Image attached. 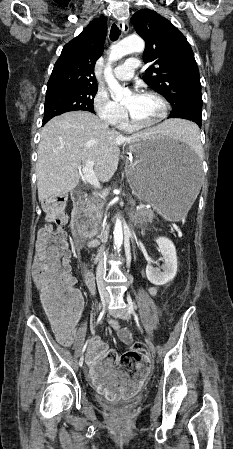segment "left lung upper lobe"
<instances>
[{
    "label": "left lung upper lobe",
    "instance_id": "1",
    "mask_svg": "<svg viewBox=\"0 0 233 449\" xmlns=\"http://www.w3.org/2000/svg\"><path fill=\"white\" fill-rule=\"evenodd\" d=\"M145 40V63L153 62L143 80L172 105V117L202 121L199 70L185 36L153 10L137 11L130 19Z\"/></svg>",
    "mask_w": 233,
    "mask_h": 449
}]
</instances>
